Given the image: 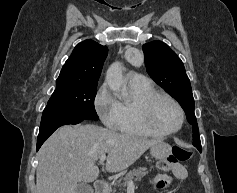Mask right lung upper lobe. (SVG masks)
Returning a JSON list of instances; mask_svg holds the SVG:
<instances>
[{
	"label": "right lung upper lobe",
	"instance_id": "cb5924a9",
	"mask_svg": "<svg viewBox=\"0 0 237 193\" xmlns=\"http://www.w3.org/2000/svg\"><path fill=\"white\" fill-rule=\"evenodd\" d=\"M108 48L87 39L74 48L57 80L98 83Z\"/></svg>",
	"mask_w": 237,
	"mask_h": 193
}]
</instances>
